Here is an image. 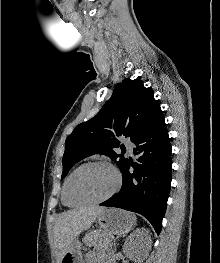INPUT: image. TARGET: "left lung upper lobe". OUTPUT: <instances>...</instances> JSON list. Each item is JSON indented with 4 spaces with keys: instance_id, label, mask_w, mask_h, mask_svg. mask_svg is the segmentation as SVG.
Returning a JSON list of instances; mask_svg holds the SVG:
<instances>
[{
    "instance_id": "5c2ea615",
    "label": "left lung upper lobe",
    "mask_w": 220,
    "mask_h": 263,
    "mask_svg": "<svg viewBox=\"0 0 220 263\" xmlns=\"http://www.w3.org/2000/svg\"><path fill=\"white\" fill-rule=\"evenodd\" d=\"M162 117L153 91L141 80L124 79L99 113L77 125L66 139L62 178L75 163L93 154L109 156L122 170L128 159L115 153L114 148L120 147L116 137H129L134 143Z\"/></svg>"
}]
</instances>
